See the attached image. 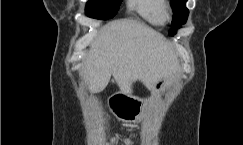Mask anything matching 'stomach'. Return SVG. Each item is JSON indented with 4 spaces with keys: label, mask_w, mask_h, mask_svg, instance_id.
I'll return each mask as SVG.
<instances>
[{
    "label": "stomach",
    "mask_w": 243,
    "mask_h": 145,
    "mask_svg": "<svg viewBox=\"0 0 243 145\" xmlns=\"http://www.w3.org/2000/svg\"><path fill=\"white\" fill-rule=\"evenodd\" d=\"M160 83L165 84L166 80L161 79ZM151 101V97H147L146 101H143L142 97L136 100L126 93H118L113 94L110 105L112 107V112H114L120 120L124 122H135L139 119V114L142 110L140 106H148V102ZM155 101L161 102L162 98L156 97Z\"/></svg>",
    "instance_id": "stomach-1"
}]
</instances>
